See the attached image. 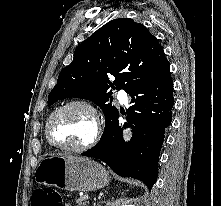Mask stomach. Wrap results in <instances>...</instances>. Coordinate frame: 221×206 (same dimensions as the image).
Wrapping results in <instances>:
<instances>
[{
    "mask_svg": "<svg viewBox=\"0 0 221 206\" xmlns=\"http://www.w3.org/2000/svg\"><path fill=\"white\" fill-rule=\"evenodd\" d=\"M35 180L67 191H93L105 186L110 178L105 168L91 159L53 155L40 161Z\"/></svg>",
    "mask_w": 221,
    "mask_h": 206,
    "instance_id": "0dacf381",
    "label": "stomach"
}]
</instances>
